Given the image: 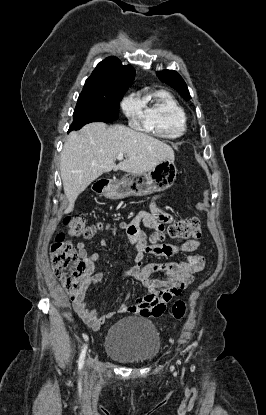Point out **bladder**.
I'll return each mask as SVG.
<instances>
[{
  "label": "bladder",
  "instance_id": "31cf9c89",
  "mask_svg": "<svg viewBox=\"0 0 266 415\" xmlns=\"http://www.w3.org/2000/svg\"><path fill=\"white\" fill-rule=\"evenodd\" d=\"M104 348L113 359L128 364H146L158 356L160 335L149 320L140 317L123 318L108 330Z\"/></svg>",
  "mask_w": 266,
  "mask_h": 415
}]
</instances>
